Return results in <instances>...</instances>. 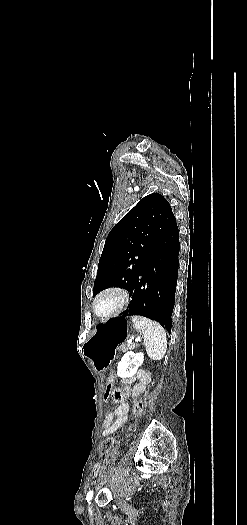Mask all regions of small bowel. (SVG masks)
<instances>
[{
    "mask_svg": "<svg viewBox=\"0 0 247 525\" xmlns=\"http://www.w3.org/2000/svg\"><path fill=\"white\" fill-rule=\"evenodd\" d=\"M135 378L138 382L132 389V397H137L142 394L151 380L150 375L144 370H138L135 374ZM127 397L128 396L126 395L123 400L119 401L114 411L106 416L103 425V436H110L126 423L130 407ZM101 469L102 465L99 462H96L93 466V474L97 476L101 472Z\"/></svg>",
    "mask_w": 247,
    "mask_h": 525,
    "instance_id": "obj_1",
    "label": "small bowel"
}]
</instances>
